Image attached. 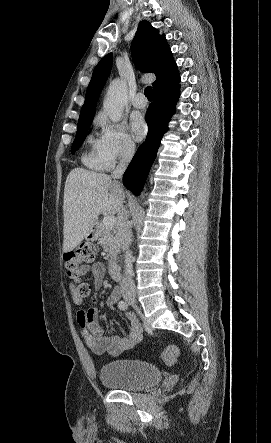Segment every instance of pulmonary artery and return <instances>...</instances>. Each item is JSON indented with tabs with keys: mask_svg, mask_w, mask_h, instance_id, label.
Masks as SVG:
<instances>
[{
	"mask_svg": "<svg viewBox=\"0 0 271 443\" xmlns=\"http://www.w3.org/2000/svg\"><path fill=\"white\" fill-rule=\"evenodd\" d=\"M147 103L145 95L141 92L136 93L132 99L133 106L139 109L145 108Z\"/></svg>",
	"mask_w": 271,
	"mask_h": 443,
	"instance_id": "pulmonary-artery-1",
	"label": "pulmonary artery"
}]
</instances>
